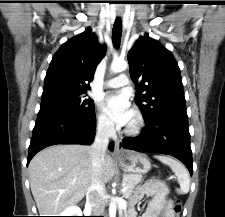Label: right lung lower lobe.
<instances>
[{
	"instance_id": "right-lung-lower-lobe-1",
	"label": "right lung lower lobe",
	"mask_w": 225,
	"mask_h": 217,
	"mask_svg": "<svg viewBox=\"0 0 225 217\" xmlns=\"http://www.w3.org/2000/svg\"><path fill=\"white\" fill-rule=\"evenodd\" d=\"M94 131V111L85 115H75L57 110H40L33 129L27 164L36 153L51 145H89L94 140ZM109 148L113 150V142Z\"/></svg>"
}]
</instances>
